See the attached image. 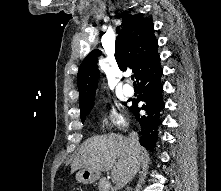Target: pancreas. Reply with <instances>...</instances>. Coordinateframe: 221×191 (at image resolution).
I'll return each mask as SVG.
<instances>
[{
  "label": "pancreas",
  "mask_w": 221,
  "mask_h": 191,
  "mask_svg": "<svg viewBox=\"0 0 221 191\" xmlns=\"http://www.w3.org/2000/svg\"><path fill=\"white\" fill-rule=\"evenodd\" d=\"M107 184H108V181L106 180V178H101L98 183L99 191H115L113 188L107 187L106 186Z\"/></svg>",
  "instance_id": "pancreas-1"
}]
</instances>
